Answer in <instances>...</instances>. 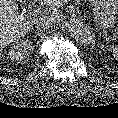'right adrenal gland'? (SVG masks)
<instances>
[{"mask_svg":"<svg viewBox=\"0 0 118 118\" xmlns=\"http://www.w3.org/2000/svg\"><path fill=\"white\" fill-rule=\"evenodd\" d=\"M37 35H40V31H36Z\"/></svg>","mask_w":118,"mask_h":118,"instance_id":"2a0ac1e0","label":"right adrenal gland"}]
</instances>
